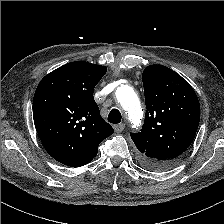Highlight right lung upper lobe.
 Wrapping results in <instances>:
<instances>
[{"label":"right lung upper lobe","mask_w":224,"mask_h":224,"mask_svg":"<svg viewBox=\"0 0 224 224\" xmlns=\"http://www.w3.org/2000/svg\"><path fill=\"white\" fill-rule=\"evenodd\" d=\"M106 71L105 66L70 62L46 75L35 91L36 131L48 154L64 165L88 164L97 155L99 143L114 132L93 97Z\"/></svg>","instance_id":"obj_1"}]
</instances>
